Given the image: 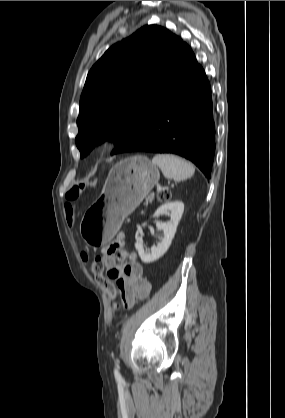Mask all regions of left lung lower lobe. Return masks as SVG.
<instances>
[{"instance_id": "left-lung-lower-lobe-1", "label": "left lung lower lobe", "mask_w": 285, "mask_h": 418, "mask_svg": "<svg viewBox=\"0 0 285 418\" xmlns=\"http://www.w3.org/2000/svg\"><path fill=\"white\" fill-rule=\"evenodd\" d=\"M213 114L210 82L185 43L140 135L125 152L177 154L210 178L215 153Z\"/></svg>"}]
</instances>
